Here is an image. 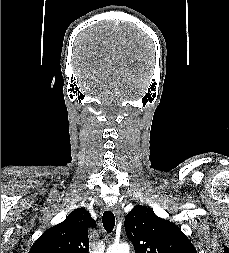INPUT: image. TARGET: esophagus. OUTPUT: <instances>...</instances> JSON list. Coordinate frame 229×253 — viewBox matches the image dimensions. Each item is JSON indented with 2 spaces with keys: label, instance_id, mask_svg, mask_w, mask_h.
Segmentation results:
<instances>
[{
  "label": "esophagus",
  "instance_id": "1",
  "mask_svg": "<svg viewBox=\"0 0 229 253\" xmlns=\"http://www.w3.org/2000/svg\"><path fill=\"white\" fill-rule=\"evenodd\" d=\"M109 210H112L113 213L117 216V218L120 217L121 213L120 210L117 206H113V207H108Z\"/></svg>",
  "mask_w": 229,
  "mask_h": 253
}]
</instances>
